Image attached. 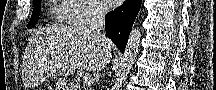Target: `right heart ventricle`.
<instances>
[{"instance_id": "obj_1", "label": "right heart ventricle", "mask_w": 216, "mask_h": 90, "mask_svg": "<svg viewBox=\"0 0 216 90\" xmlns=\"http://www.w3.org/2000/svg\"><path fill=\"white\" fill-rule=\"evenodd\" d=\"M78 11H83V7H77V4H55L49 7V14L53 15V19L48 22L53 28H66V24H70L68 28H81L80 24H72L73 21L70 20Z\"/></svg>"}]
</instances>
